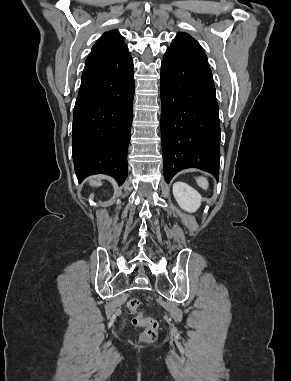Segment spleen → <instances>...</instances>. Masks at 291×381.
Instances as JSON below:
<instances>
[{"instance_id": "1", "label": "spleen", "mask_w": 291, "mask_h": 381, "mask_svg": "<svg viewBox=\"0 0 291 381\" xmlns=\"http://www.w3.org/2000/svg\"><path fill=\"white\" fill-rule=\"evenodd\" d=\"M197 184L204 190L208 189V180L205 177H197L196 178Z\"/></svg>"}]
</instances>
